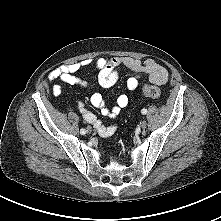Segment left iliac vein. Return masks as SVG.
Instances as JSON below:
<instances>
[{"mask_svg":"<svg viewBox=\"0 0 221 221\" xmlns=\"http://www.w3.org/2000/svg\"><path fill=\"white\" fill-rule=\"evenodd\" d=\"M140 126H141L142 129H145L147 127V122L146 121H142L140 123Z\"/></svg>","mask_w":221,"mask_h":221,"instance_id":"1","label":"left iliac vein"}]
</instances>
